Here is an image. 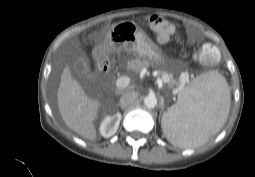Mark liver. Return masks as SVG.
<instances>
[{
  "label": "liver",
  "mask_w": 255,
  "mask_h": 177,
  "mask_svg": "<svg viewBox=\"0 0 255 177\" xmlns=\"http://www.w3.org/2000/svg\"><path fill=\"white\" fill-rule=\"evenodd\" d=\"M57 100L66 126L85 139L95 140L97 133L93 122L98 116L101 104L85 94L81 85L72 77L68 66L61 75Z\"/></svg>",
  "instance_id": "obj_1"
}]
</instances>
